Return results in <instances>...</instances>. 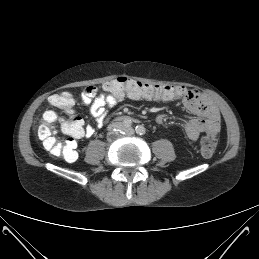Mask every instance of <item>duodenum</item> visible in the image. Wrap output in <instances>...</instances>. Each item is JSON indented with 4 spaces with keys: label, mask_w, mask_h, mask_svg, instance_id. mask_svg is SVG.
Returning a JSON list of instances; mask_svg holds the SVG:
<instances>
[{
    "label": "duodenum",
    "mask_w": 259,
    "mask_h": 259,
    "mask_svg": "<svg viewBox=\"0 0 259 259\" xmlns=\"http://www.w3.org/2000/svg\"><path fill=\"white\" fill-rule=\"evenodd\" d=\"M125 119H130V117H128V116H122V117L119 118V120H125Z\"/></svg>",
    "instance_id": "1"
}]
</instances>
